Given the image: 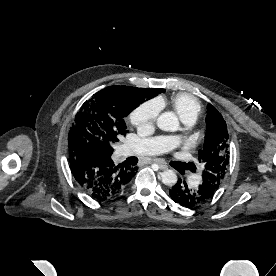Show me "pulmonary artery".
<instances>
[{
  "label": "pulmonary artery",
  "mask_w": 276,
  "mask_h": 276,
  "mask_svg": "<svg viewBox=\"0 0 276 276\" xmlns=\"http://www.w3.org/2000/svg\"><path fill=\"white\" fill-rule=\"evenodd\" d=\"M187 126H191L194 120H184ZM179 138L177 136H161L156 138L143 139L138 142H130L125 144L126 151L133 150L138 154L156 155L168 152L169 150L177 147Z\"/></svg>",
  "instance_id": "e3ab8cb5"
}]
</instances>
